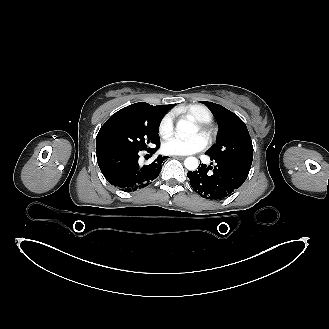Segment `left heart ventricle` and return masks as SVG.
Returning <instances> with one entry per match:
<instances>
[{
    "mask_svg": "<svg viewBox=\"0 0 329 329\" xmlns=\"http://www.w3.org/2000/svg\"><path fill=\"white\" fill-rule=\"evenodd\" d=\"M197 132H198V128H195L194 133H197Z\"/></svg>",
    "mask_w": 329,
    "mask_h": 329,
    "instance_id": "obj_1",
    "label": "left heart ventricle"
}]
</instances>
